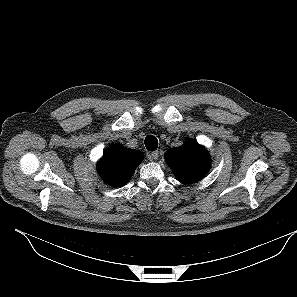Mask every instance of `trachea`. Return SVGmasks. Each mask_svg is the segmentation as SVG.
Masks as SVG:
<instances>
[{"label":"trachea","mask_w":297,"mask_h":297,"mask_svg":"<svg viewBox=\"0 0 297 297\" xmlns=\"http://www.w3.org/2000/svg\"><path fill=\"white\" fill-rule=\"evenodd\" d=\"M145 146L148 151H155L158 148V140L155 136H147L145 138Z\"/></svg>","instance_id":"3493384b"}]
</instances>
